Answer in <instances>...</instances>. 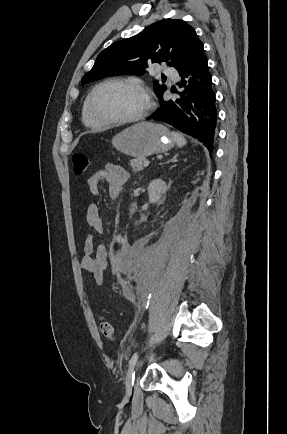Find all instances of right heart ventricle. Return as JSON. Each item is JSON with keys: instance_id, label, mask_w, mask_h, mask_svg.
Instances as JSON below:
<instances>
[{"instance_id": "right-heart-ventricle-1", "label": "right heart ventricle", "mask_w": 287, "mask_h": 434, "mask_svg": "<svg viewBox=\"0 0 287 434\" xmlns=\"http://www.w3.org/2000/svg\"><path fill=\"white\" fill-rule=\"evenodd\" d=\"M86 101L83 103L82 107V121L85 125L89 127H100L101 125L94 121L88 113Z\"/></svg>"}]
</instances>
